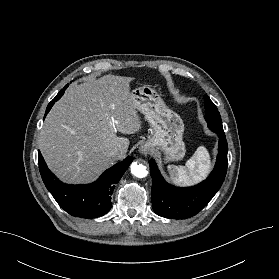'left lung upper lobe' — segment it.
Wrapping results in <instances>:
<instances>
[{"instance_id":"left-lung-upper-lobe-1","label":"left lung upper lobe","mask_w":279,"mask_h":279,"mask_svg":"<svg viewBox=\"0 0 279 279\" xmlns=\"http://www.w3.org/2000/svg\"><path fill=\"white\" fill-rule=\"evenodd\" d=\"M204 102L206 109L205 119L208 123V127L214 132L224 133L220 113L215 104L206 95L204 96Z\"/></svg>"}]
</instances>
